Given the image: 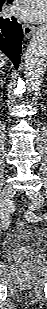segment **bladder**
I'll use <instances>...</instances> for the list:
<instances>
[{"label": "bladder", "instance_id": "31cf9c89", "mask_svg": "<svg viewBox=\"0 0 47 309\" xmlns=\"http://www.w3.org/2000/svg\"><path fill=\"white\" fill-rule=\"evenodd\" d=\"M45 245V232L27 223L15 227L2 241V248L8 254L37 253L42 251Z\"/></svg>", "mask_w": 47, "mask_h": 309}]
</instances>
